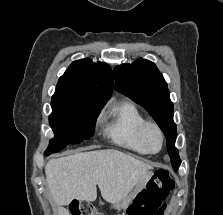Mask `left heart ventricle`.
Instances as JSON below:
<instances>
[{
  "label": "left heart ventricle",
  "instance_id": "b2bd125f",
  "mask_svg": "<svg viewBox=\"0 0 223 215\" xmlns=\"http://www.w3.org/2000/svg\"><path fill=\"white\" fill-rule=\"evenodd\" d=\"M145 144L148 148L152 150H156L159 148L160 139L157 132L154 129L149 128L147 130L146 136H145Z\"/></svg>",
  "mask_w": 223,
  "mask_h": 215
}]
</instances>
